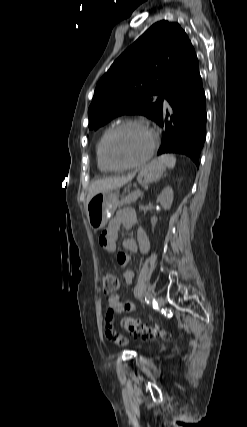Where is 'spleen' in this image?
<instances>
[{
    "mask_svg": "<svg viewBox=\"0 0 247 427\" xmlns=\"http://www.w3.org/2000/svg\"><path fill=\"white\" fill-rule=\"evenodd\" d=\"M158 162L163 164L165 167L173 169L176 164V158L172 154H164L158 157Z\"/></svg>",
    "mask_w": 247,
    "mask_h": 427,
    "instance_id": "spleen-1",
    "label": "spleen"
}]
</instances>
